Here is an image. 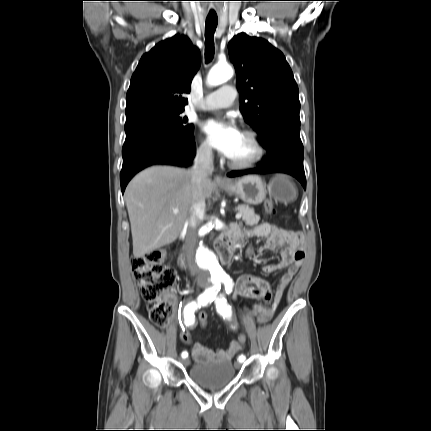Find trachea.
Instances as JSON below:
<instances>
[{"label":"trachea","mask_w":431,"mask_h":431,"mask_svg":"<svg viewBox=\"0 0 431 431\" xmlns=\"http://www.w3.org/2000/svg\"><path fill=\"white\" fill-rule=\"evenodd\" d=\"M217 17H207L205 23V56L206 61L209 62L214 55V42L213 36L217 27Z\"/></svg>","instance_id":"1"}]
</instances>
